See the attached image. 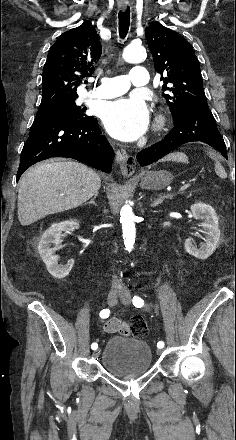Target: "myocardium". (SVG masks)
<instances>
[{"label": "myocardium", "instance_id": "f54148a6", "mask_svg": "<svg viewBox=\"0 0 236 440\" xmlns=\"http://www.w3.org/2000/svg\"><path fill=\"white\" fill-rule=\"evenodd\" d=\"M163 124H164V117L163 116H159L158 118H157V128L159 129V128H161L162 126H163Z\"/></svg>", "mask_w": 236, "mask_h": 440}]
</instances>
